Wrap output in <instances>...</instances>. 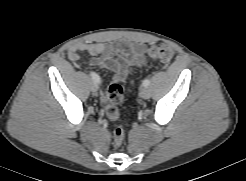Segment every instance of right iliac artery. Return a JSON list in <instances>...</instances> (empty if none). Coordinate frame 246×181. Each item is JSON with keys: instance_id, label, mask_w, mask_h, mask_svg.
I'll return each instance as SVG.
<instances>
[{"instance_id": "1", "label": "right iliac artery", "mask_w": 246, "mask_h": 181, "mask_svg": "<svg viewBox=\"0 0 246 181\" xmlns=\"http://www.w3.org/2000/svg\"><path fill=\"white\" fill-rule=\"evenodd\" d=\"M90 76L94 80V82H96V83H100L101 82L100 77L95 72H90Z\"/></svg>"}]
</instances>
